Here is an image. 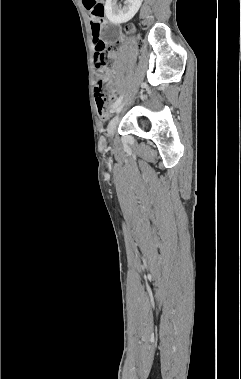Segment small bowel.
I'll return each mask as SVG.
<instances>
[{
	"label": "small bowel",
	"instance_id": "c3829d8e",
	"mask_svg": "<svg viewBox=\"0 0 241 379\" xmlns=\"http://www.w3.org/2000/svg\"><path fill=\"white\" fill-rule=\"evenodd\" d=\"M111 85L113 86L114 85V82L113 81H110Z\"/></svg>",
	"mask_w": 241,
	"mask_h": 379
}]
</instances>
